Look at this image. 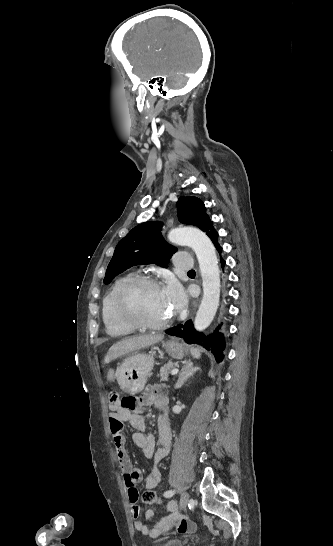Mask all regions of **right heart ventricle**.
Listing matches in <instances>:
<instances>
[{
  "label": "right heart ventricle",
  "mask_w": 333,
  "mask_h": 546,
  "mask_svg": "<svg viewBox=\"0 0 333 546\" xmlns=\"http://www.w3.org/2000/svg\"><path fill=\"white\" fill-rule=\"evenodd\" d=\"M137 276L133 273L118 278L111 285L102 301V320L106 332L112 337H123L131 334L134 328L120 317L117 310V298L121 289Z\"/></svg>",
  "instance_id": "right-heart-ventricle-1"
}]
</instances>
